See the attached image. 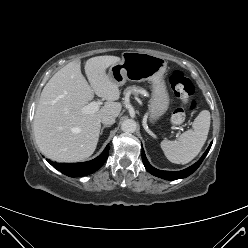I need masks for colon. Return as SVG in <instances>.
Masks as SVG:
<instances>
[{
    "instance_id": "5ec220e1",
    "label": "colon",
    "mask_w": 248,
    "mask_h": 248,
    "mask_svg": "<svg viewBox=\"0 0 248 248\" xmlns=\"http://www.w3.org/2000/svg\"><path fill=\"white\" fill-rule=\"evenodd\" d=\"M170 84L178 98V106L172 115V124L181 125L186 117V112L195 108L193 99L194 86L186 75L180 70H174L169 76Z\"/></svg>"
}]
</instances>
